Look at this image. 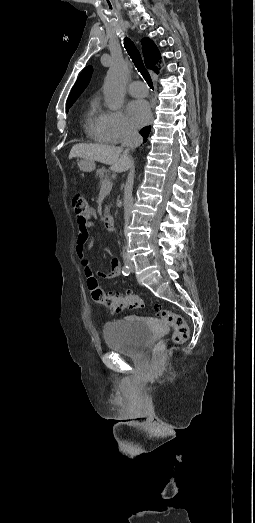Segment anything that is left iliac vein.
<instances>
[{"label": "left iliac vein", "instance_id": "obj_1", "mask_svg": "<svg viewBox=\"0 0 255 523\" xmlns=\"http://www.w3.org/2000/svg\"><path fill=\"white\" fill-rule=\"evenodd\" d=\"M127 265H128V267H129V270H130L131 272H134V264H133L131 261H128Z\"/></svg>", "mask_w": 255, "mask_h": 523}]
</instances>
